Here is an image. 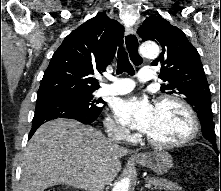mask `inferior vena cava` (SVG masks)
Wrapping results in <instances>:
<instances>
[{
	"mask_svg": "<svg viewBox=\"0 0 221 191\" xmlns=\"http://www.w3.org/2000/svg\"><path fill=\"white\" fill-rule=\"evenodd\" d=\"M118 134L116 132L108 134L109 142L116 145L118 143ZM105 184L106 182L103 178H98L94 180L91 191H103Z\"/></svg>",
	"mask_w": 221,
	"mask_h": 191,
	"instance_id": "obj_1",
	"label": "inferior vena cava"
}]
</instances>
